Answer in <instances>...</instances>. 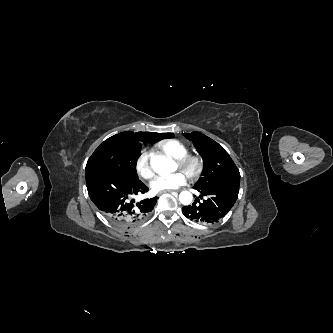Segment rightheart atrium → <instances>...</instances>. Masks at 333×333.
Segmentation results:
<instances>
[{
	"label": "right heart atrium",
	"mask_w": 333,
	"mask_h": 333,
	"mask_svg": "<svg viewBox=\"0 0 333 333\" xmlns=\"http://www.w3.org/2000/svg\"><path fill=\"white\" fill-rule=\"evenodd\" d=\"M151 155L150 151H144L136 161V171L144 179H150L153 176V168L150 162Z\"/></svg>",
	"instance_id": "d8ad5b80"
}]
</instances>
